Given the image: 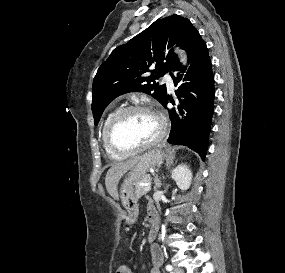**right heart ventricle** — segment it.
Here are the masks:
<instances>
[{"label":"right heart ventricle","mask_w":285,"mask_h":273,"mask_svg":"<svg viewBox=\"0 0 285 273\" xmlns=\"http://www.w3.org/2000/svg\"><path fill=\"white\" fill-rule=\"evenodd\" d=\"M116 112V110H111L109 111L106 116L104 117L103 119V122H102V126H101V131H100V136H101V142H102V146L105 150V152L107 153L108 156H110L111 158H114V159H122L125 157L124 154H120V153H117L115 151H113L107 144L106 142V139H105V130H106V127L111 119V117L114 115V113Z\"/></svg>","instance_id":"obj_1"}]
</instances>
